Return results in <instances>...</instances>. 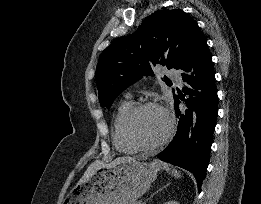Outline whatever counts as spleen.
<instances>
[{
    "instance_id": "1",
    "label": "spleen",
    "mask_w": 261,
    "mask_h": 204,
    "mask_svg": "<svg viewBox=\"0 0 261 204\" xmlns=\"http://www.w3.org/2000/svg\"><path fill=\"white\" fill-rule=\"evenodd\" d=\"M163 168H164L167 172H171V175H173L174 177H176V178H180V177H181L180 172H178V171L175 170V169H172V170H171V168L169 167L168 164H164V165H163Z\"/></svg>"
}]
</instances>
